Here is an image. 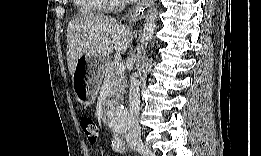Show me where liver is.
<instances>
[{
  "label": "liver",
  "instance_id": "liver-1",
  "mask_svg": "<svg viewBox=\"0 0 261 156\" xmlns=\"http://www.w3.org/2000/svg\"><path fill=\"white\" fill-rule=\"evenodd\" d=\"M132 41L128 27L119 25L114 19L88 15L69 22L67 27V64L73 76L78 59L87 57H108L114 51L125 53Z\"/></svg>",
  "mask_w": 261,
  "mask_h": 156
}]
</instances>
